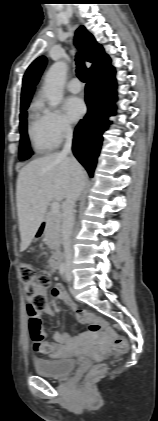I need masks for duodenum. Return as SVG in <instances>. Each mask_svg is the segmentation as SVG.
I'll list each match as a JSON object with an SVG mask.
<instances>
[{"instance_id":"obj_1","label":"duodenum","mask_w":158,"mask_h":421,"mask_svg":"<svg viewBox=\"0 0 158 421\" xmlns=\"http://www.w3.org/2000/svg\"><path fill=\"white\" fill-rule=\"evenodd\" d=\"M45 224L43 223L41 226V230L44 229ZM62 263V252L56 251L53 253L50 259V265L53 269H58Z\"/></svg>"}]
</instances>
